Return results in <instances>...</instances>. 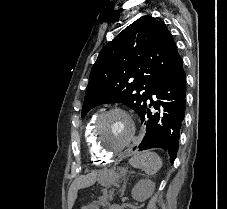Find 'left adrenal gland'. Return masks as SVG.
<instances>
[{
	"instance_id": "left-adrenal-gland-1",
	"label": "left adrenal gland",
	"mask_w": 227,
	"mask_h": 209,
	"mask_svg": "<svg viewBox=\"0 0 227 209\" xmlns=\"http://www.w3.org/2000/svg\"><path fill=\"white\" fill-rule=\"evenodd\" d=\"M128 177H129V175H126V177H122L123 187H122V189H120L121 197H122V195H124V193L126 191V183L128 181Z\"/></svg>"
}]
</instances>
